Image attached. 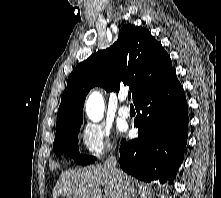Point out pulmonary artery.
<instances>
[{
  "instance_id": "1",
  "label": "pulmonary artery",
  "mask_w": 221,
  "mask_h": 198,
  "mask_svg": "<svg viewBox=\"0 0 221 198\" xmlns=\"http://www.w3.org/2000/svg\"><path fill=\"white\" fill-rule=\"evenodd\" d=\"M126 97H127L126 94L122 93L119 95V100L121 102H124L126 100ZM118 114L121 118L126 119V118L130 117V108L126 105H122V106H120V108L118 110Z\"/></svg>"
}]
</instances>
